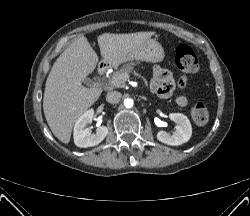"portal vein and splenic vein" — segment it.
Listing matches in <instances>:
<instances>
[{
  "label": "portal vein and splenic vein",
  "instance_id": "portal-vein-and-splenic-vein-1",
  "mask_svg": "<svg viewBox=\"0 0 250 216\" xmlns=\"http://www.w3.org/2000/svg\"><path fill=\"white\" fill-rule=\"evenodd\" d=\"M121 78L127 80L129 78V75L127 73H125L121 76Z\"/></svg>",
  "mask_w": 250,
  "mask_h": 216
}]
</instances>
